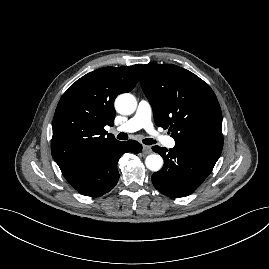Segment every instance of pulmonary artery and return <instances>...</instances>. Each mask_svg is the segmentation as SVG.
<instances>
[{"label":"pulmonary artery","mask_w":269,"mask_h":269,"mask_svg":"<svg viewBox=\"0 0 269 269\" xmlns=\"http://www.w3.org/2000/svg\"><path fill=\"white\" fill-rule=\"evenodd\" d=\"M145 129L148 133L168 148L175 146V140L172 137L158 134L152 124V108L147 100H141L138 104L136 113L127 122L116 128L119 132H134L139 129Z\"/></svg>","instance_id":"e3ab8cb5"}]
</instances>
